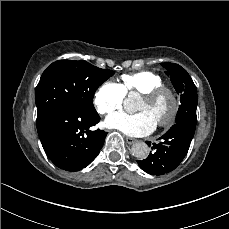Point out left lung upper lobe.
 I'll use <instances>...</instances> for the list:
<instances>
[{"instance_id":"5c2ea615","label":"left lung upper lobe","mask_w":229,"mask_h":229,"mask_svg":"<svg viewBox=\"0 0 229 229\" xmlns=\"http://www.w3.org/2000/svg\"><path fill=\"white\" fill-rule=\"evenodd\" d=\"M162 66L167 70L165 73L170 77L176 92L181 95V105L176 115L175 125L189 122L191 130L195 131L198 96L194 82L188 72L180 65L165 62L162 63ZM189 117H193V119Z\"/></svg>"}]
</instances>
